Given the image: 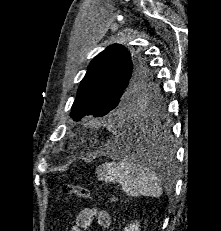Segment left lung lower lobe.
Segmentation results:
<instances>
[{"label":"left lung lower lobe","instance_id":"left-lung-lower-lobe-1","mask_svg":"<svg viewBox=\"0 0 221 231\" xmlns=\"http://www.w3.org/2000/svg\"><path fill=\"white\" fill-rule=\"evenodd\" d=\"M162 120L148 116L137 122L121 123V145L126 152L137 153L144 164L158 165L171 152V141ZM146 150V151H143Z\"/></svg>","mask_w":221,"mask_h":231}]
</instances>
